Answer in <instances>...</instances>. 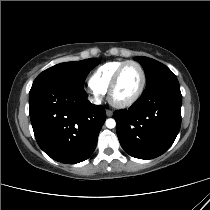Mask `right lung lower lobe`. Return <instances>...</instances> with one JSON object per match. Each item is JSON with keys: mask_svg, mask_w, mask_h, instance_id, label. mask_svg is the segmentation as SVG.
<instances>
[{"mask_svg": "<svg viewBox=\"0 0 210 210\" xmlns=\"http://www.w3.org/2000/svg\"><path fill=\"white\" fill-rule=\"evenodd\" d=\"M83 87L62 82L33 84L29 93L30 119L36 141L52 159L82 162L95 150L106 114L91 104Z\"/></svg>", "mask_w": 210, "mask_h": 210, "instance_id": "98d812e1", "label": "right lung lower lobe"}]
</instances>
